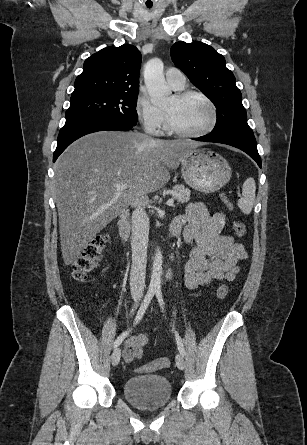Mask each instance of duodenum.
Listing matches in <instances>:
<instances>
[{
    "label": "duodenum",
    "instance_id": "1",
    "mask_svg": "<svg viewBox=\"0 0 307 445\" xmlns=\"http://www.w3.org/2000/svg\"><path fill=\"white\" fill-rule=\"evenodd\" d=\"M130 212L125 210L121 213L120 219L118 221L119 234L123 241H127L130 234ZM178 231L170 228V238L176 237Z\"/></svg>",
    "mask_w": 307,
    "mask_h": 445
}]
</instances>
